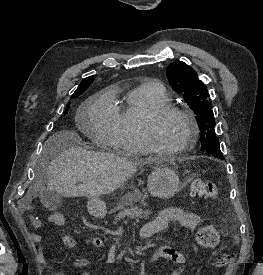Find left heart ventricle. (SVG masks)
<instances>
[{"label": "left heart ventricle", "mask_w": 263, "mask_h": 275, "mask_svg": "<svg viewBox=\"0 0 263 275\" xmlns=\"http://www.w3.org/2000/svg\"><path fill=\"white\" fill-rule=\"evenodd\" d=\"M189 134L188 122L181 116L169 115L160 119L154 127L156 143L168 150L184 144Z\"/></svg>", "instance_id": "obj_1"}]
</instances>
